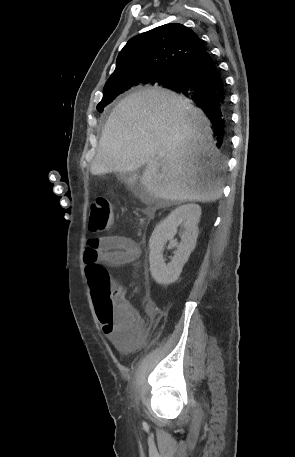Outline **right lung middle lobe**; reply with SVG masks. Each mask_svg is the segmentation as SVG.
Segmentation results:
<instances>
[{"label":"right lung middle lobe","mask_w":295,"mask_h":457,"mask_svg":"<svg viewBox=\"0 0 295 457\" xmlns=\"http://www.w3.org/2000/svg\"><path fill=\"white\" fill-rule=\"evenodd\" d=\"M175 77H169V78L164 79L162 84H160V85L162 87L166 88L167 85H169L170 83H172L174 81ZM129 87H131V84L126 83L123 85L113 86L108 89H104L103 98H102L101 102L97 105V110L99 112H102L105 106H107L109 103H111L119 94L123 93Z\"/></svg>","instance_id":"dd1d6c3e"}]
</instances>
